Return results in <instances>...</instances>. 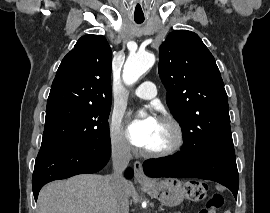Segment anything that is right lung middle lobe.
Listing matches in <instances>:
<instances>
[{
	"label": "right lung middle lobe",
	"instance_id": "1",
	"mask_svg": "<svg viewBox=\"0 0 270 213\" xmlns=\"http://www.w3.org/2000/svg\"><path fill=\"white\" fill-rule=\"evenodd\" d=\"M111 106L58 105L47 108L41 147L107 141Z\"/></svg>",
	"mask_w": 270,
	"mask_h": 213
}]
</instances>
